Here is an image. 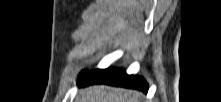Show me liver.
Segmentation results:
<instances>
[{
    "label": "liver",
    "mask_w": 221,
    "mask_h": 102,
    "mask_svg": "<svg viewBox=\"0 0 221 102\" xmlns=\"http://www.w3.org/2000/svg\"><path fill=\"white\" fill-rule=\"evenodd\" d=\"M76 100V102H141L142 96L138 92L123 88L94 85L81 90Z\"/></svg>",
    "instance_id": "6515ba94"
}]
</instances>
